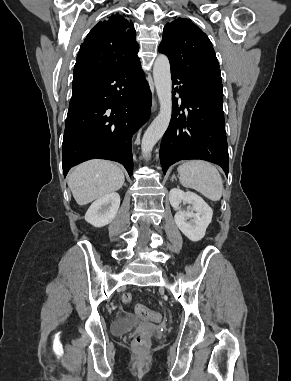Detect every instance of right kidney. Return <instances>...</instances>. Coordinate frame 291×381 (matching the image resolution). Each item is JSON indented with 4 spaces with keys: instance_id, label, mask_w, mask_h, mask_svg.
<instances>
[{
    "instance_id": "ca27d5eb",
    "label": "right kidney",
    "mask_w": 291,
    "mask_h": 381,
    "mask_svg": "<svg viewBox=\"0 0 291 381\" xmlns=\"http://www.w3.org/2000/svg\"><path fill=\"white\" fill-rule=\"evenodd\" d=\"M120 206L118 193H110L94 201L85 214L86 222L94 227L108 225L116 217Z\"/></svg>"
}]
</instances>
